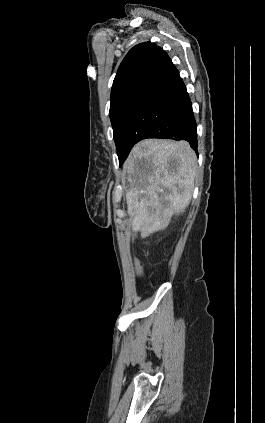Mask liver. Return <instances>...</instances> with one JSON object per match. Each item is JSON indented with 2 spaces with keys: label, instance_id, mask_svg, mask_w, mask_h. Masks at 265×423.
Returning a JSON list of instances; mask_svg holds the SVG:
<instances>
[{
  "label": "liver",
  "instance_id": "6515ba94",
  "mask_svg": "<svg viewBox=\"0 0 265 423\" xmlns=\"http://www.w3.org/2000/svg\"><path fill=\"white\" fill-rule=\"evenodd\" d=\"M143 163L148 169H141ZM196 169V154L186 141L139 142L123 167L131 184L126 200L133 232L140 231L145 238L165 229L174 214L183 212L191 200Z\"/></svg>",
  "mask_w": 265,
  "mask_h": 423
}]
</instances>
